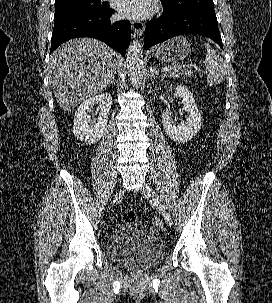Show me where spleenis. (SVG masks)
I'll use <instances>...</instances> for the list:
<instances>
[{
	"label": "spleen",
	"instance_id": "obj_1",
	"mask_svg": "<svg viewBox=\"0 0 272 303\" xmlns=\"http://www.w3.org/2000/svg\"><path fill=\"white\" fill-rule=\"evenodd\" d=\"M204 46L207 49L206 59L203 61L208 71L207 82L211 85L220 84L225 79L226 64L209 44L205 43Z\"/></svg>",
	"mask_w": 272,
	"mask_h": 303
}]
</instances>
